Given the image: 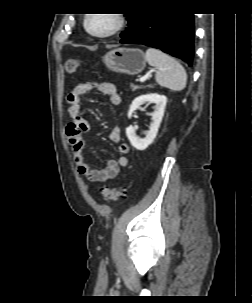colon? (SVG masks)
Returning a JSON list of instances; mask_svg holds the SVG:
<instances>
[{
    "label": "colon",
    "instance_id": "colon-1",
    "mask_svg": "<svg viewBox=\"0 0 252 303\" xmlns=\"http://www.w3.org/2000/svg\"><path fill=\"white\" fill-rule=\"evenodd\" d=\"M80 65H81V61L79 59H68L65 63V70L68 74H73ZM101 194L106 202H114L119 198L124 197L127 194V189L124 187L121 188L103 187L101 189Z\"/></svg>",
    "mask_w": 252,
    "mask_h": 303
}]
</instances>
